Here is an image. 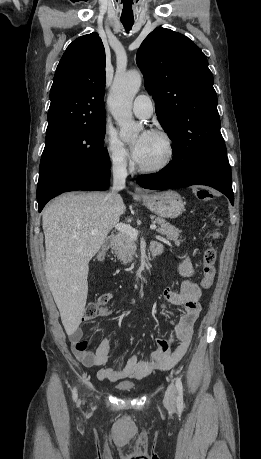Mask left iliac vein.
I'll return each mask as SVG.
<instances>
[{
  "instance_id": "left-iliac-vein-1",
  "label": "left iliac vein",
  "mask_w": 261,
  "mask_h": 459,
  "mask_svg": "<svg viewBox=\"0 0 261 459\" xmlns=\"http://www.w3.org/2000/svg\"><path fill=\"white\" fill-rule=\"evenodd\" d=\"M164 404L168 409H174L175 404H176V399H175V386L173 384H170L167 388V391L165 393L164 397Z\"/></svg>"
}]
</instances>
